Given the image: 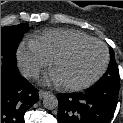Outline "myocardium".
<instances>
[{
    "mask_svg": "<svg viewBox=\"0 0 123 123\" xmlns=\"http://www.w3.org/2000/svg\"><path fill=\"white\" fill-rule=\"evenodd\" d=\"M88 43H98L100 44L103 49H104V60L103 63L100 67V69L97 71V73L89 80L83 82V83H78V84H67V83H59L60 86L68 91H80V90H84L86 88H89L90 86H92L93 84H95L101 77L102 75L105 73L108 63H109V49L107 47V45L96 38H89V39H83V40H79L76 41L74 43H72L71 45H69L68 47H66L65 49H63L61 52H59L51 61V68L54 71L56 65L64 60L65 58H67L68 56H70L75 50H77L79 47L88 44Z\"/></svg>",
    "mask_w": 123,
    "mask_h": 123,
    "instance_id": "myocardium-1",
    "label": "myocardium"
}]
</instances>
